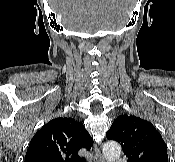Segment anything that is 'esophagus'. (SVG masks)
<instances>
[{
    "label": "esophagus",
    "instance_id": "34e87169",
    "mask_svg": "<svg viewBox=\"0 0 175 162\" xmlns=\"http://www.w3.org/2000/svg\"><path fill=\"white\" fill-rule=\"evenodd\" d=\"M94 158L95 162H104V159L97 145L94 146Z\"/></svg>",
    "mask_w": 175,
    "mask_h": 162
}]
</instances>
